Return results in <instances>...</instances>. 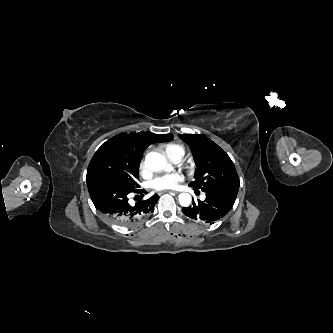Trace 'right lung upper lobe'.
<instances>
[{"label": "right lung upper lobe", "instance_id": "obj_1", "mask_svg": "<svg viewBox=\"0 0 333 333\" xmlns=\"http://www.w3.org/2000/svg\"><path fill=\"white\" fill-rule=\"evenodd\" d=\"M174 138L172 134L157 135L151 132L140 133H120L110 141L123 145L128 154L136 161L140 162L143 151L152 143L160 141H171Z\"/></svg>", "mask_w": 333, "mask_h": 333}]
</instances>
